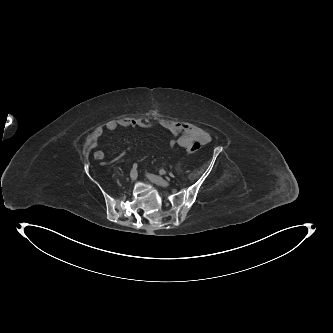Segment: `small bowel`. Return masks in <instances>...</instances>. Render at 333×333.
<instances>
[{
	"label": "small bowel",
	"instance_id": "c3829d8e",
	"mask_svg": "<svg viewBox=\"0 0 333 333\" xmlns=\"http://www.w3.org/2000/svg\"><path fill=\"white\" fill-rule=\"evenodd\" d=\"M151 125L144 119L124 118L117 121H109L106 124V128L113 131L119 127L123 128H149ZM160 126L169 132L173 138L169 141L170 148L179 146L190 152V148L194 142H199L201 145H206L211 141V136L199 126L192 123H181L172 120H162ZM103 134L102 128H97L91 135L88 142L90 149H96L99 143V139ZM93 157L96 160H103L105 154L101 150H95ZM143 161V160H141Z\"/></svg>",
	"mask_w": 333,
	"mask_h": 333
}]
</instances>
